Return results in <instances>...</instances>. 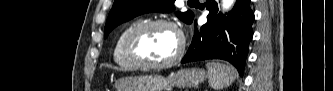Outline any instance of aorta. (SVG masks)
<instances>
[{"instance_id": "aorta-1", "label": "aorta", "mask_w": 333, "mask_h": 91, "mask_svg": "<svg viewBox=\"0 0 333 91\" xmlns=\"http://www.w3.org/2000/svg\"><path fill=\"white\" fill-rule=\"evenodd\" d=\"M235 3V0H223L222 7L224 10H229V8Z\"/></svg>"}]
</instances>
